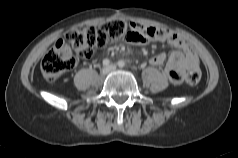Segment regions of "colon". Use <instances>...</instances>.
<instances>
[{"instance_id":"colon-1","label":"colon","mask_w":238,"mask_h":158,"mask_svg":"<svg viewBox=\"0 0 238 158\" xmlns=\"http://www.w3.org/2000/svg\"><path fill=\"white\" fill-rule=\"evenodd\" d=\"M131 34L132 25L121 20H112L99 27L73 29L44 56L41 62L42 75L47 81H55L75 66V54L88 58L110 40L128 39ZM200 79L201 71L198 68L190 70L185 77L190 86L196 85Z\"/></svg>"}]
</instances>
